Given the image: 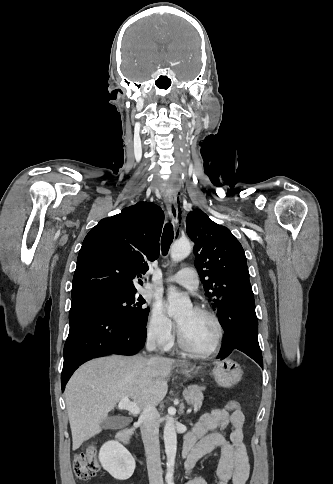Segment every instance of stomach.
<instances>
[{
  "label": "stomach",
  "mask_w": 333,
  "mask_h": 484,
  "mask_svg": "<svg viewBox=\"0 0 333 484\" xmlns=\"http://www.w3.org/2000/svg\"><path fill=\"white\" fill-rule=\"evenodd\" d=\"M202 371V367L180 365V372L187 378H191ZM211 374L220 387L230 388L240 381L242 377V369L237 362L230 358H226L214 362Z\"/></svg>",
  "instance_id": "1"
}]
</instances>
